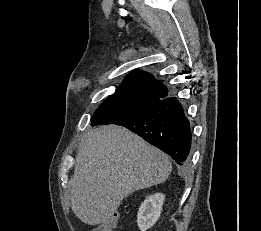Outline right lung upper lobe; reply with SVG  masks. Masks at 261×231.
<instances>
[{
  "instance_id": "obj_1",
  "label": "right lung upper lobe",
  "mask_w": 261,
  "mask_h": 231,
  "mask_svg": "<svg viewBox=\"0 0 261 231\" xmlns=\"http://www.w3.org/2000/svg\"><path fill=\"white\" fill-rule=\"evenodd\" d=\"M120 88H139L151 94L159 96L161 99L168 95L166 87L157 82L151 75L144 71H133L122 82Z\"/></svg>"
}]
</instances>
